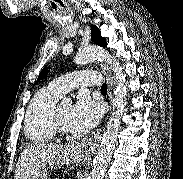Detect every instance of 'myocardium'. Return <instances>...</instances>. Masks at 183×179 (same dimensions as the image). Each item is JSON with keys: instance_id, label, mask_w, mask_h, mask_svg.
Wrapping results in <instances>:
<instances>
[{"instance_id": "obj_1", "label": "myocardium", "mask_w": 183, "mask_h": 179, "mask_svg": "<svg viewBox=\"0 0 183 179\" xmlns=\"http://www.w3.org/2000/svg\"><path fill=\"white\" fill-rule=\"evenodd\" d=\"M52 126L55 130L56 133L59 134H70V131L67 130L66 128L63 127V125L61 124L60 120H59V115H58V107L55 106L53 109V113H52Z\"/></svg>"}]
</instances>
